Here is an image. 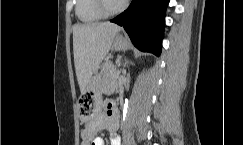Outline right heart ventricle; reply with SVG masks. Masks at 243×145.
<instances>
[{
	"label": "right heart ventricle",
	"instance_id": "obj_1",
	"mask_svg": "<svg viewBox=\"0 0 243 145\" xmlns=\"http://www.w3.org/2000/svg\"><path fill=\"white\" fill-rule=\"evenodd\" d=\"M75 13L84 24H93L104 18L97 10L95 0H76Z\"/></svg>",
	"mask_w": 243,
	"mask_h": 145
}]
</instances>
